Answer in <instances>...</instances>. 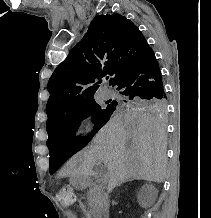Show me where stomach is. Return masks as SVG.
<instances>
[{
	"instance_id": "stomach-1",
	"label": "stomach",
	"mask_w": 211,
	"mask_h": 218,
	"mask_svg": "<svg viewBox=\"0 0 211 218\" xmlns=\"http://www.w3.org/2000/svg\"><path fill=\"white\" fill-rule=\"evenodd\" d=\"M70 181L74 187L82 188L87 184V177L82 174H73L71 175Z\"/></svg>"
}]
</instances>
